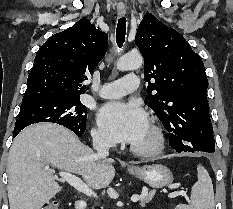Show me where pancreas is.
<instances>
[{
	"instance_id": "cf45deb5",
	"label": "pancreas",
	"mask_w": 233,
	"mask_h": 209,
	"mask_svg": "<svg viewBox=\"0 0 233 209\" xmlns=\"http://www.w3.org/2000/svg\"><path fill=\"white\" fill-rule=\"evenodd\" d=\"M154 191L150 192L149 194L147 195H142L141 198H140V205L142 207L145 206L146 203L150 202V200L153 198L154 196Z\"/></svg>"
}]
</instances>
